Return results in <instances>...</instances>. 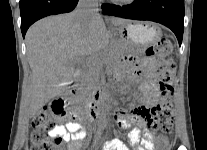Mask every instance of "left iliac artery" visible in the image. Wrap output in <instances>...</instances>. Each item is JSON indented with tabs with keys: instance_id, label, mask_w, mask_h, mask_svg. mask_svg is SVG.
I'll return each instance as SVG.
<instances>
[{
	"instance_id": "1",
	"label": "left iliac artery",
	"mask_w": 207,
	"mask_h": 150,
	"mask_svg": "<svg viewBox=\"0 0 207 150\" xmlns=\"http://www.w3.org/2000/svg\"><path fill=\"white\" fill-rule=\"evenodd\" d=\"M111 145H113L115 148H117V150H129L128 147L125 144H123L122 141H120L118 139L113 140Z\"/></svg>"
}]
</instances>
